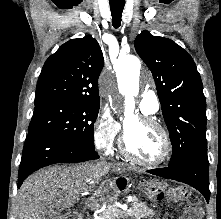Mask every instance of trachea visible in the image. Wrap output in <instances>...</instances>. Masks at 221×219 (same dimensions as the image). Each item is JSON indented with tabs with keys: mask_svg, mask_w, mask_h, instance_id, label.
I'll use <instances>...</instances> for the list:
<instances>
[{
	"mask_svg": "<svg viewBox=\"0 0 221 219\" xmlns=\"http://www.w3.org/2000/svg\"><path fill=\"white\" fill-rule=\"evenodd\" d=\"M125 2H110V10L112 16V23L114 28H119L121 25L122 12Z\"/></svg>",
	"mask_w": 221,
	"mask_h": 219,
	"instance_id": "obj_1",
	"label": "trachea"
}]
</instances>
